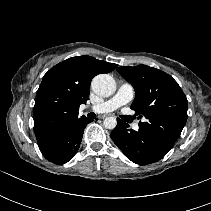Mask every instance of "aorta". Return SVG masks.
<instances>
[{"label":"aorta","mask_w":211,"mask_h":211,"mask_svg":"<svg viewBox=\"0 0 211 211\" xmlns=\"http://www.w3.org/2000/svg\"><path fill=\"white\" fill-rule=\"evenodd\" d=\"M92 90L99 96H111L116 90V83L109 74H99L95 76L91 83ZM103 125L107 129H114L117 125L115 117H107L103 121Z\"/></svg>","instance_id":"aorta-1"}]
</instances>
